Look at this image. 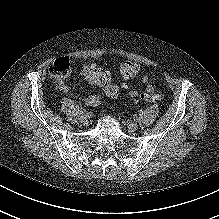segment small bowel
Returning a JSON list of instances; mask_svg holds the SVG:
<instances>
[{"instance_id": "c3829d8e", "label": "small bowel", "mask_w": 219, "mask_h": 219, "mask_svg": "<svg viewBox=\"0 0 219 219\" xmlns=\"http://www.w3.org/2000/svg\"><path fill=\"white\" fill-rule=\"evenodd\" d=\"M93 68H99V67L96 66L95 64H87V65L83 66L81 71H80V75L85 79V81L89 85H92V86L98 85L96 83V74L92 72ZM124 79H127V78H124ZM129 79H131V78H129ZM142 82L144 84H146L147 91L154 90L153 86L151 84H149V78L147 76H144L142 78ZM59 88L63 93H65L67 95H72L69 87L65 83L61 82L59 84ZM83 101H84V103H86L87 105H89L91 107H96L101 103V96L99 94L90 95V96L83 98Z\"/></svg>"}]
</instances>
